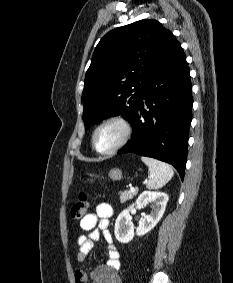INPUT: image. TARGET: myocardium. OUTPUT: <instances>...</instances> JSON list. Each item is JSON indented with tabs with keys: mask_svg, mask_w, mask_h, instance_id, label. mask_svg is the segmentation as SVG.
Here are the masks:
<instances>
[{
	"mask_svg": "<svg viewBox=\"0 0 233 283\" xmlns=\"http://www.w3.org/2000/svg\"><path fill=\"white\" fill-rule=\"evenodd\" d=\"M117 125L120 127L121 129V137L119 139V141L110 149L105 150V151H101L96 147V136L97 133L105 126L107 125ZM133 134V126L130 122L129 119H127L126 117L122 116V115H112L109 116L107 118H105L104 120H102L94 129L93 133H92V138H91V144H92V148L101 155H111L114 154L116 152H118L119 150H121L131 139Z\"/></svg>",
	"mask_w": 233,
	"mask_h": 283,
	"instance_id": "1",
	"label": "myocardium"
}]
</instances>
